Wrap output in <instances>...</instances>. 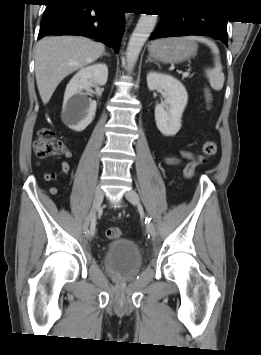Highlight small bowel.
<instances>
[{
  "instance_id": "c3829d8e",
  "label": "small bowel",
  "mask_w": 261,
  "mask_h": 355,
  "mask_svg": "<svg viewBox=\"0 0 261 355\" xmlns=\"http://www.w3.org/2000/svg\"><path fill=\"white\" fill-rule=\"evenodd\" d=\"M71 156V153L70 152H66L65 154V157H70ZM194 157L193 153L190 152V151H182L181 152V155H180V158H174V157H167L166 158V162L168 164H174L176 162H178L179 160L181 159H192ZM70 170V165L67 161H62L61 164H60V169L58 172H50V173H46L44 175V179L45 181L47 182H50V181H54L58 175H63V174H67ZM51 192H57V188L55 187H52L50 189Z\"/></svg>"
}]
</instances>
